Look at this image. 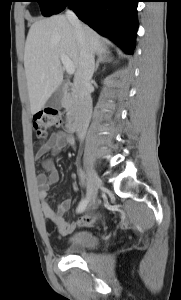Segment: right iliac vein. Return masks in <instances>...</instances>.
<instances>
[{
    "label": "right iliac vein",
    "mask_w": 181,
    "mask_h": 300,
    "mask_svg": "<svg viewBox=\"0 0 181 300\" xmlns=\"http://www.w3.org/2000/svg\"><path fill=\"white\" fill-rule=\"evenodd\" d=\"M102 182L96 171L91 167L89 171V188H88V199L89 205H94L98 193V188L101 186Z\"/></svg>",
    "instance_id": "obj_1"
}]
</instances>
